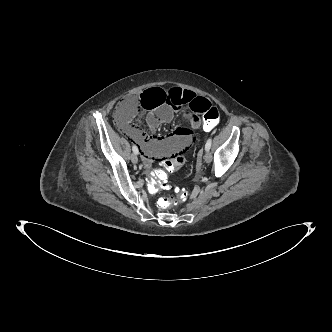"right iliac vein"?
<instances>
[{
	"mask_svg": "<svg viewBox=\"0 0 332 332\" xmlns=\"http://www.w3.org/2000/svg\"><path fill=\"white\" fill-rule=\"evenodd\" d=\"M131 161L132 163L136 164L138 162V157L136 154H132L131 155Z\"/></svg>",
	"mask_w": 332,
	"mask_h": 332,
	"instance_id": "right-iliac-vein-1",
	"label": "right iliac vein"
}]
</instances>
